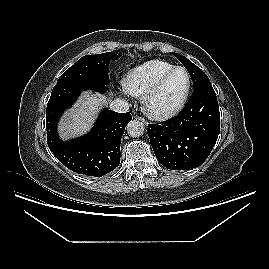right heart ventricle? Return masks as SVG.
Here are the masks:
<instances>
[{
  "label": "right heart ventricle",
  "mask_w": 269,
  "mask_h": 269,
  "mask_svg": "<svg viewBox=\"0 0 269 269\" xmlns=\"http://www.w3.org/2000/svg\"><path fill=\"white\" fill-rule=\"evenodd\" d=\"M175 67L172 63L153 59L131 69L123 80L124 88L134 96L143 95L167 71Z\"/></svg>",
  "instance_id": "1"
}]
</instances>
